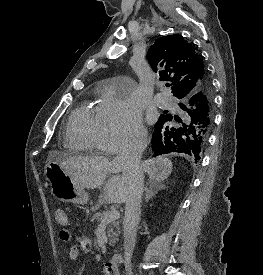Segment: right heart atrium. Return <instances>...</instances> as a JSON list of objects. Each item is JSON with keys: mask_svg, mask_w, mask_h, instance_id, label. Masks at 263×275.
<instances>
[{"mask_svg": "<svg viewBox=\"0 0 263 275\" xmlns=\"http://www.w3.org/2000/svg\"><path fill=\"white\" fill-rule=\"evenodd\" d=\"M145 139L146 131L134 100L109 91L101 103L100 148L107 153H118Z\"/></svg>", "mask_w": 263, "mask_h": 275, "instance_id": "obj_1", "label": "right heart atrium"}]
</instances>
